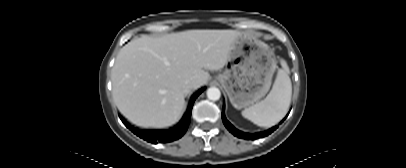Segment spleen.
<instances>
[{"instance_id": "1", "label": "spleen", "mask_w": 406, "mask_h": 168, "mask_svg": "<svg viewBox=\"0 0 406 168\" xmlns=\"http://www.w3.org/2000/svg\"><path fill=\"white\" fill-rule=\"evenodd\" d=\"M282 68L278 71L273 87L267 97L242 111V116L260 127H271L278 123L288 112L292 84L289 67L285 60L280 61Z\"/></svg>"}]
</instances>
